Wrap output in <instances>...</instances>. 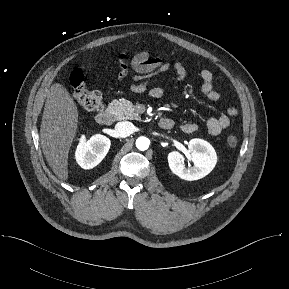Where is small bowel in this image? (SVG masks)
I'll return each instance as SVG.
<instances>
[{"label":"small bowel","mask_w":289,"mask_h":289,"mask_svg":"<svg viewBox=\"0 0 289 289\" xmlns=\"http://www.w3.org/2000/svg\"><path fill=\"white\" fill-rule=\"evenodd\" d=\"M128 55L122 53L119 55V72L117 80L122 81L127 75L129 70ZM131 68L139 74L134 80L137 82L132 85L131 89L134 92L140 93L145 91L148 85L149 76L155 73L165 72L170 68L168 63L162 61L159 57H153L147 51L136 53L130 59ZM174 79L178 82L184 81L187 77V69L181 62L174 64ZM201 91L203 95L211 100L216 101L220 98V93L214 87V75L209 70H202L200 72ZM149 95L153 98H160L163 95V89L160 87H153L149 90ZM237 115V109L231 107L227 110L226 114L218 117H211L206 121V128L209 134L218 135L226 129L231 122V119ZM181 130L185 133H194L198 130V125L194 123H183Z\"/></svg>","instance_id":"c3829d8e"}]
</instances>
